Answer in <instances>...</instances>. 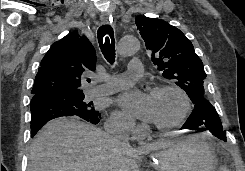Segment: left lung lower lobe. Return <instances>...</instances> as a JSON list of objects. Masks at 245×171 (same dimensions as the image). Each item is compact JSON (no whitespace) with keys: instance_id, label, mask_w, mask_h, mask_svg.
<instances>
[{"instance_id":"left-lung-lower-lobe-1","label":"left lung lower lobe","mask_w":245,"mask_h":171,"mask_svg":"<svg viewBox=\"0 0 245 171\" xmlns=\"http://www.w3.org/2000/svg\"><path fill=\"white\" fill-rule=\"evenodd\" d=\"M194 104V111L181 129H191L201 132L209 130L217 138L226 141V134L223 131L218 113L207 98H202Z\"/></svg>"}]
</instances>
